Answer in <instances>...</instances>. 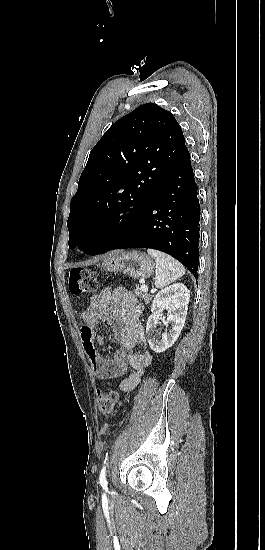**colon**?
I'll list each match as a JSON object with an SVG mask.
<instances>
[{"instance_id":"1","label":"colon","mask_w":265,"mask_h":550,"mask_svg":"<svg viewBox=\"0 0 265 550\" xmlns=\"http://www.w3.org/2000/svg\"><path fill=\"white\" fill-rule=\"evenodd\" d=\"M70 291L74 295H82L95 292L99 287V280L93 270L84 268L72 269L69 275ZM121 395L116 390L106 392L98 391L97 403L100 411L105 415H111L115 407L119 404ZM110 432L108 426L103 424L101 434L108 435Z\"/></svg>"}]
</instances>
